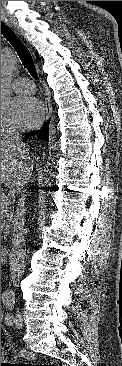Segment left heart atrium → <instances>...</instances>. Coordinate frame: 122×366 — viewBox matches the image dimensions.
I'll use <instances>...</instances> for the list:
<instances>
[{
	"mask_svg": "<svg viewBox=\"0 0 122 366\" xmlns=\"http://www.w3.org/2000/svg\"><path fill=\"white\" fill-rule=\"evenodd\" d=\"M43 114L40 100L31 96H19L11 102L10 123L19 128H32L41 122Z\"/></svg>",
	"mask_w": 122,
	"mask_h": 366,
	"instance_id": "obj_1",
	"label": "left heart atrium"
}]
</instances>
